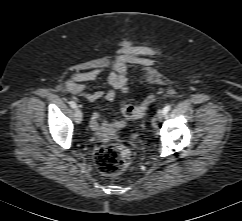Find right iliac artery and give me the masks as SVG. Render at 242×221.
<instances>
[{"label": "right iliac artery", "mask_w": 242, "mask_h": 221, "mask_svg": "<svg viewBox=\"0 0 242 221\" xmlns=\"http://www.w3.org/2000/svg\"><path fill=\"white\" fill-rule=\"evenodd\" d=\"M69 105H70L72 108H77V104H76L74 101H69Z\"/></svg>", "instance_id": "82829eb1"}]
</instances>
